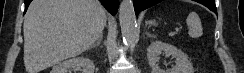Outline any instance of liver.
<instances>
[{
	"label": "liver",
	"mask_w": 244,
	"mask_h": 73,
	"mask_svg": "<svg viewBox=\"0 0 244 73\" xmlns=\"http://www.w3.org/2000/svg\"><path fill=\"white\" fill-rule=\"evenodd\" d=\"M105 23L97 0H33L23 25L27 73L80 55L102 35Z\"/></svg>",
	"instance_id": "6515ba94"
}]
</instances>
